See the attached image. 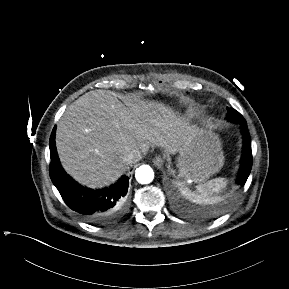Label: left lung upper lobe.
I'll list each match as a JSON object with an SVG mask.
<instances>
[{"label":"left lung upper lobe","instance_id":"obj_1","mask_svg":"<svg viewBox=\"0 0 289 289\" xmlns=\"http://www.w3.org/2000/svg\"><path fill=\"white\" fill-rule=\"evenodd\" d=\"M228 111L229 112H228L227 116H228L229 120H231L233 122H238V123L246 122L245 119L243 118V116L239 112H237L236 110H234V109L229 110V108H228Z\"/></svg>","mask_w":289,"mask_h":289}]
</instances>
